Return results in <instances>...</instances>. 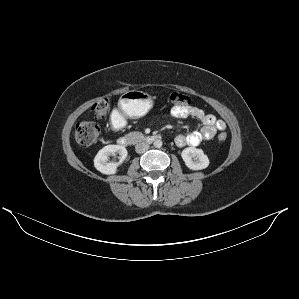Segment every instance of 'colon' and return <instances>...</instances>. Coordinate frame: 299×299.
Returning a JSON list of instances; mask_svg holds the SVG:
<instances>
[{
	"mask_svg": "<svg viewBox=\"0 0 299 299\" xmlns=\"http://www.w3.org/2000/svg\"><path fill=\"white\" fill-rule=\"evenodd\" d=\"M169 103L172 106H189L191 100L190 98L178 91H173L168 96ZM110 106V101L107 98H103L97 101L92 106V111L94 115L98 118H103L106 116ZM100 133L99 126L94 122H80L75 128V138L78 144L81 146H90L97 140ZM227 138L226 133L221 132L218 135L220 141H225Z\"/></svg>",
	"mask_w": 299,
	"mask_h": 299,
	"instance_id": "5ec220e1",
	"label": "colon"
}]
</instances>
